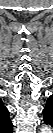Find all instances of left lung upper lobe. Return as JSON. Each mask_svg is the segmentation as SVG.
<instances>
[{
    "label": "left lung upper lobe",
    "mask_w": 53,
    "mask_h": 133,
    "mask_svg": "<svg viewBox=\"0 0 53 133\" xmlns=\"http://www.w3.org/2000/svg\"><path fill=\"white\" fill-rule=\"evenodd\" d=\"M44 113V122L51 124L53 118V99L50 97L46 103V106L43 110Z\"/></svg>",
    "instance_id": "5c2ea615"
}]
</instances>
